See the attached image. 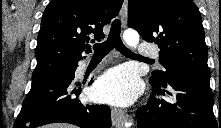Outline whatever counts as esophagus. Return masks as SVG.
<instances>
[{
  "mask_svg": "<svg viewBox=\"0 0 221 128\" xmlns=\"http://www.w3.org/2000/svg\"><path fill=\"white\" fill-rule=\"evenodd\" d=\"M127 17H128V1L124 0L122 8H121V21H122L123 28L126 27ZM111 118H112L113 125L118 128L124 127L125 125L133 124L132 116H129L120 108H115V107L112 108Z\"/></svg>",
  "mask_w": 221,
  "mask_h": 128,
  "instance_id": "1",
  "label": "esophagus"
}]
</instances>
